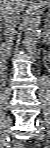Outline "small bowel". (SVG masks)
Masks as SVG:
<instances>
[{
    "mask_svg": "<svg viewBox=\"0 0 50 148\" xmlns=\"http://www.w3.org/2000/svg\"><path fill=\"white\" fill-rule=\"evenodd\" d=\"M15 148H22V144L19 141H16L13 145Z\"/></svg>",
    "mask_w": 50,
    "mask_h": 148,
    "instance_id": "1",
    "label": "small bowel"
}]
</instances>
